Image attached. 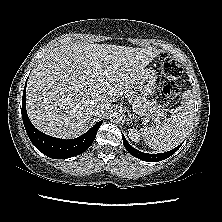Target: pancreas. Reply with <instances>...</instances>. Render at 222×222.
I'll use <instances>...</instances> for the list:
<instances>
[{"label":"pancreas","instance_id":"1","mask_svg":"<svg viewBox=\"0 0 222 222\" xmlns=\"http://www.w3.org/2000/svg\"><path fill=\"white\" fill-rule=\"evenodd\" d=\"M127 96L141 115L153 119H160L166 116V109L163 106L158 105L155 101L142 97L133 91L129 92Z\"/></svg>","mask_w":222,"mask_h":222}]
</instances>
